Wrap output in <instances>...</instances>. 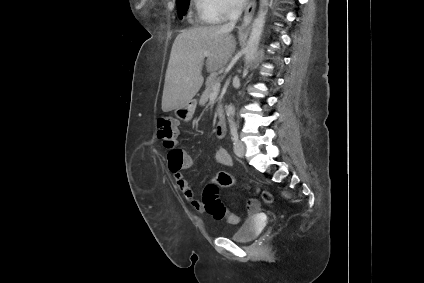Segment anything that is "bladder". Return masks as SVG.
I'll list each match as a JSON object with an SVG mask.
<instances>
[{"instance_id": "31cf9c89", "label": "bladder", "mask_w": 424, "mask_h": 283, "mask_svg": "<svg viewBox=\"0 0 424 283\" xmlns=\"http://www.w3.org/2000/svg\"><path fill=\"white\" fill-rule=\"evenodd\" d=\"M261 228L260 220L256 217H250L243 222L230 238L235 242L248 243L257 238Z\"/></svg>"}]
</instances>
